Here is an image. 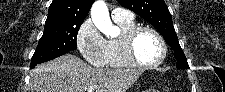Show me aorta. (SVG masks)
<instances>
[{
	"instance_id": "aorta-1",
	"label": "aorta",
	"mask_w": 225,
	"mask_h": 92,
	"mask_svg": "<svg viewBox=\"0 0 225 92\" xmlns=\"http://www.w3.org/2000/svg\"><path fill=\"white\" fill-rule=\"evenodd\" d=\"M91 18L96 28L107 37L116 34L118 28L112 24L108 7L103 0H98L93 4Z\"/></svg>"
}]
</instances>
